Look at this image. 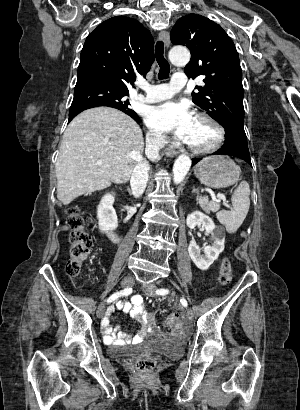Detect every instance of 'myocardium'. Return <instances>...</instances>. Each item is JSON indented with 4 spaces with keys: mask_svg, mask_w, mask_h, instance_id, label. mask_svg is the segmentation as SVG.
<instances>
[{
    "mask_svg": "<svg viewBox=\"0 0 300 410\" xmlns=\"http://www.w3.org/2000/svg\"><path fill=\"white\" fill-rule=\"evenodd\" d=\"M197 119L204 120L212 124L218 132V139L213 145L206 148L196 147L189 143L187 144L188 148L196 154H210L219 150L224 145L227 137L226 129L223 124L213 116L206 113L197 114Z\"/></svg>",
    "mask_w": 300,
    "mask_h": 410,
    "instance_id": "obj_1",
    "label": "myocardium"
}]
</instances>
